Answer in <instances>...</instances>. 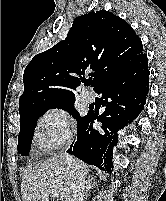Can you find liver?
Returning a JSON list of instances; mask_svg holds the SVG:
<instances>
[{
  "label": "liver",
  "instance_id": "1",
  "mask_svg": "<svg viewBox=\"0 0 166 201\" xmlns=\"http://www.w3.org/2000/svg\"><path fill=\"white\" fill-rule=\"evenodd\" d=\"M84 176L89 167L76 160ZM72 177L68 162L64 155L49 158L46 161L33 164L22 174V201H49L55 198L52 192H57V201H72Z\"/></svg>",
  "mask_w": 166,
  "mask_h": 201
}]
</instances>
